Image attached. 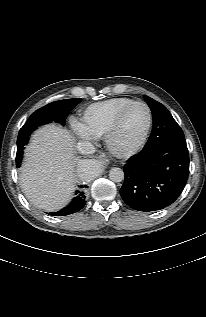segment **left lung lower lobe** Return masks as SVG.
<instances>
[{"label": "left lung lower lobe", "mask_w": 206, "mask_h": 317, "mask_svg": "<svg viewBox=\"0 0 206 317\" xmlns=\"http://www.w3.org/2000/svg\"><path fill=\"white\" fill-rule=\"evenodd\" d=\"M120 189L123 201L138 211H155L172 204L189 174L186 144L167 142L143 148L127 160Z\"/></svg>", "instance_id": "left-lung-lower-lobe-1"}]
</instances>
